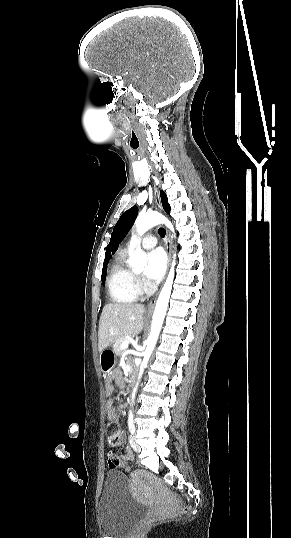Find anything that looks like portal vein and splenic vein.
<instances>
[{"label":"portal vein and splenic vein","mask_w":291,"mask_h":538,"mask_svg":"<svg viewBox=\"0 0 291 538\" xmlns=\"http://www.w3.org/2000/svg\"><path fill=\"white\" fill-rule=\"evenodd\" d=\"M128 347H129V344H128L127 341H126V342H123V343L121 344V349H123V350L127 349Z\"/></svg>","instance_id":"obj_1"}]
</instances>
